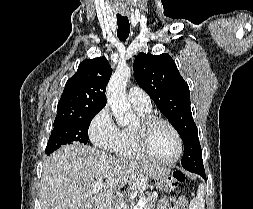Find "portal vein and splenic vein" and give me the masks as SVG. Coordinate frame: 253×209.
Segmentation results:
<instances>
[{
  "label": "portal vein and splenic vein",
  "instance_id": "1",
  "mask_svg": "<svg viewBox=\"0 0 253 209\" xmlns=\"http://www.w3.org/2000/svg\"><path fill=\"white\" fill-rule=\"evenodd\" d=\"M103 182H97L93 187V193L99 192L104 187ZM145 205V197H141L137 205L134 209H143V206Z\"/></svg>",
  "mask_w": 253,
  "mask_h": 209
}]
</instances>
